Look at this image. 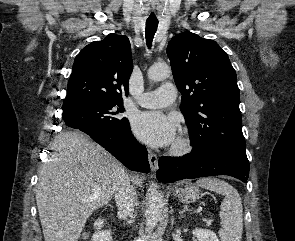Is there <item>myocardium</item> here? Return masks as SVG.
<instances>
[{"instance_id":"f54148a6","label":"myocardium","mask_w":295,"mask_h":241,"mask_svg":"<svg viewBox=\"0 0 295 241\" xmlns=\"http://www.w3.org/2000/svg\"><path fill=\"white\" fill-rule=\"evenodd\" d=\"M194 149V142L189 136H181L172 146L170 152L173 156L184 157Z\"/></svg>"}]
</instances>
